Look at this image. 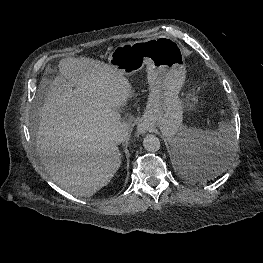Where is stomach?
I'll use <instances>...</instances> for the list:
<instances>
[{
  "label": "stomach",
  "mask_w": 263,
  "mask_h": 263,
  "mask_svg": "<svg viewBox=\"0 0 263 263\" xmlns=\"http://www.w3.org/2000/svg\"><path fill=\"white\" fill-rule=\"evenodd\" d=\"M109 65L131 76L147 65L150 94L142 117L143 124L158 127L171 139L183 120L184 103L179 92L186 76L182 46L169 37L160 36L123 43L108 57Z\"/></svg>",
  "instance_id": "obj_1"
}]
</instances>
